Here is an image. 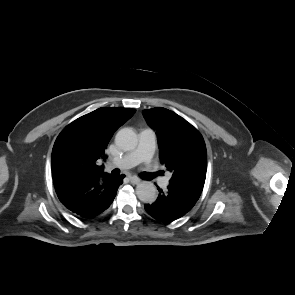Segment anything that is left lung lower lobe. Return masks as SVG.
Listing matches in <instances>:
<instances>
[{"instance_id": "obj_1", "label": "left lung lower lobe", "mask_w": 295, "mask_h": 295, "mask_svg": "<svg viewBox=\"0 0 295 295\" xmlns=\"http://www.w3.org/2000/svg\"><path fill=\"white\" fill-rule=\"evenodd\" d=\"M159 195L152 204H145V210L153 218L164 222H173L188 213L198 201L201 193L180 187H167L166 191L159 189Z\"/></svg>"}]
</instances>
